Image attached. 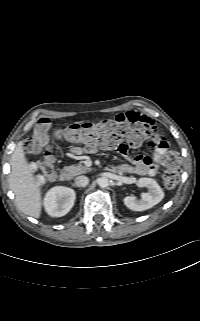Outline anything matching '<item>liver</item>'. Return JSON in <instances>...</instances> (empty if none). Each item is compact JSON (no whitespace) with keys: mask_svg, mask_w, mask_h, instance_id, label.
I'll use <instances>...</instances> for the list:
<instances>
[{"mask_svg":"<svg viewBox=\"0 0 200 321\" xmlns=\"http://www.w3.org/2000/svg\"><path fill=\"white\" fill-rule=\"evenodd\" d=\"M23 144V141H20L11 155L8 182L18 209L28 216L39 218L42 208L40 184L25 158Z\"/></svg>","mask_w":200,"mask_h":321,"instance_id":"obj_1","label":"liver"}]
</instances>
